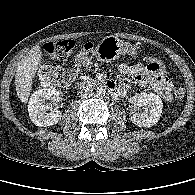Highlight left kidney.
<instances>
[{
  "label": "left kidney",
  "mask_w": 195,
  "mask_h": 195,
  "mask_svg": "<svg viewBox=\"0 0 195 195\" xmlns=\"http://www.w3.org/2000/svg\"><path fill=\"white\" fill-rule=\"evenodd\" d=\"M129 103L132 106H145L143 112L132 115L131 121L135 125L150 128L160 119L163 103L158 95L147 92L137 93L130 97Z\"/></svg>",
  "instance_id": "left-kidney-1"
}]
</instances>
